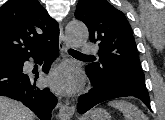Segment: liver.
Masks as SVG:
<instances>
[{
	"instance_id": "1",
	"label": "liver",
	"mask_w": 165,
	"mask_h": 120,
	"mask_svg": "<svg viewBox=\"0 0 165 120\" xmlns=\"http://www.w3.org/2000/svg\"><path fill=\"white\" fill-rule=\"evenodd\" d=\"M34 113L21 102L0 96V120H34Z\"/></svg>"
}]
</instances>
